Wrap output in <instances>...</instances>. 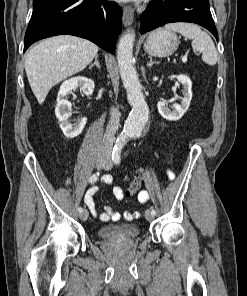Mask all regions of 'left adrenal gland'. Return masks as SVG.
Wrapping results in <instances>:
<instances>
[{
    "label": "left adrenal gland",
    "mask_w": 247,
    "mask_h": 296,
    "mask_svg": "<svg viewBox=\"0 0 247 296\" xmlns=\"http://www.w3.org/2000/svg\"><path fill=\"white\" fill-rule=\"evenodd\" d=\"M149 59H150V61H149V63H147V66L148 67H152L153 64H157L158 63V62L153 61L151 56H149Z\"/></svg>",
    "instance_id": "obj_1"
}]
</instances>
